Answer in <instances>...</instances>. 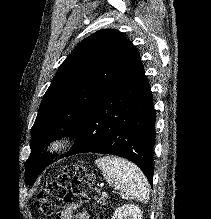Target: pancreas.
Masks as SVG:
<instances>
[{"label":"pancreas","mask_w":211,"mask_h":219,"mask_svg":"<svg viewBox=\"0 0 211 219\" xmlns=\"http://www.w3.org/2000/svg\"><path fill=\"white\" fill-rule=\"evenodd\" d=\"M97 203H99L101 205H105L106 204V199L104 197L97 198Z\"/></svg>","instance_id":"1"}]
</instances>
